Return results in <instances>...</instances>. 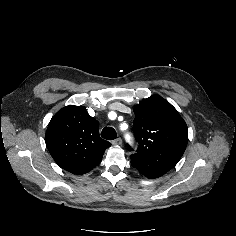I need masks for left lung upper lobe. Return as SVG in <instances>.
Wrapping results in <instances>:
<instances>
[{"label": "left lung upper lobe", "instance_id": "obj_1", "mask_svg": "<svg viewBox=\"0 0 236 236\" xmlns=\"http://www.w3.org/2000/svg\"><path fill=\"white\" fill-rule=\"evenodd\" d=\"M134 113L139 145L130 156L131 165L149 179L158 178L182 157L188 142L187 125L177 110L157 95L142 100Z\"/></svg>", "mask_w": 236, "mask_h": 236}]
</instances>
